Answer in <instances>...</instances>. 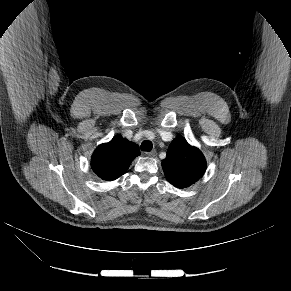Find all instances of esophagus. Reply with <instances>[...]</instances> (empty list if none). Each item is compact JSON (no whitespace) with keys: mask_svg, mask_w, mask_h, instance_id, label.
Returning a JSON list of instances; mask_svg holds the SVG:
<instances>
[{"mask_svg":"<svg viewBox=\"0 0 291 291\" xmlns=\"http://www.w3.org/2000/svg\"><path fill=\"white\" fill-rule=\"evenodd\" d=\"M146 155H147L148 157H155V156L157 155V152H156V150H153V151H151V152H147Z\"/></svg>","mask_w":291,"mask_h":291,"instance_id":"1","label":"esophagus"}]
</instances>
